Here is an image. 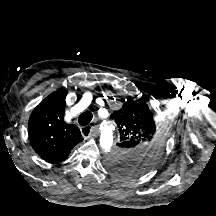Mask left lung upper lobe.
I'll use <instances>...</instances> for the list:
<instances>
[{
  "label": "left lung upper lobe",
  "mask_w": 216,
  "mask_h": 216,
  "mask_svg": "<svg viewBox=\"0 0 216 216\" xmlns=\"http://www.w3.org/2000/svg\"><path fill=\"white\" fill-rule=\"evenodd\" d=\"M118 127V148L106 165L121 177L133 178L155 167L164 153L163 130L144 100L124 102L111 114Z\"/></svg>",
  "instance_id": "1"
}]
</instances>
